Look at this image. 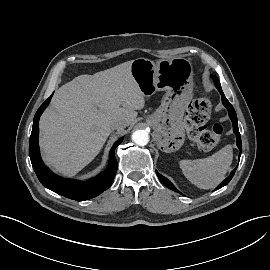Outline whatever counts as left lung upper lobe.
I'll use <instances>...</instances> for the list:
<instances>
[{"label":"left lung upper lobe","mask_w":270,"mask_h":270,"mask_svg":"<svg viewBox=\"0 0 270 270\" xmlns=\"http://www.w3.org/2000/svg\"><path fill=\"white\" fill-rule=\"evenodd\" d=\"M212 78H213V80H214V83H215L216 88L218 89V91L222 90V89H221L220 82H219V80L217 79V77L212 76Z\"/></svg>","instance_id":"left-lung-upper-lobe-1"}]
</instances>
